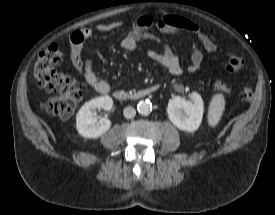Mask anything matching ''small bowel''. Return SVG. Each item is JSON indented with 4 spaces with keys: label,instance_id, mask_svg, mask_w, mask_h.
I'll return each instance as SVG.
<instances>
[{
    "label": "small bowel",
    "instance_id": "small-bowel-1",
    "mask_svg": "<svg viewBox=\"0 0 275 215\" xmlns=\"http://www.w3.org/2000/svg\"><path fill=\"white\" fill-rule=\"evenodd\" d=\"M154 26L164 33L184 36L189 40L192 47L190 64L188 66L189 72L198 71L202 65L203 54L197 43L209 53L217 51L215 43L200 30L194 21L178 15H164L158 19L150 15L138 16L122 38L120 42L121 48L126 51H136L139 48L140 41L153 39L150 29ZM122 27V22H111L98 25L95 28H82L73 32L70 36L71 62L74 68L83 75L85 82L97 92L107 93L109 85L96 75L93 69L94 59L83 56V44L94 33H108L119 30ZM146 56L150 60L166 67L172 75H180L183 72L180 61L168 47H163L161 50H147Z\"/></svg>",
    "mask_w": 275,
    "mask_h": 215
}]
</instances>
